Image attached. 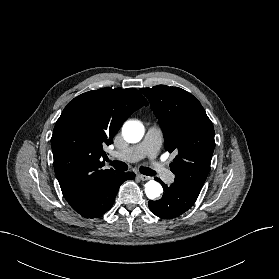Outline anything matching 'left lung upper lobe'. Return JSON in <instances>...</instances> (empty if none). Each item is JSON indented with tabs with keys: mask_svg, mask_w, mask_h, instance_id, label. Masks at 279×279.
Returning a JSON list of instances; mask_svg holds the SVG:
<instances>
[{
	"mask_svg": "<svg viewBox=\"0 0 279 279\" xmlns=\"http://www.w3.org/2000/svg\"><path fill=\"white\" fill-rule=\"evenodd\" d=\"M158 118L165 149L177 152L170 164L175 184L200 192L210 170L214 128L200 102L189 92L158 85L141 88Z\"/></svg>",
	"mask_w": 279,
	"mask_h": 279,
	"instance_id": "5c2ea615",
	"label": "left lung upper lobe"
}]
</instances>
